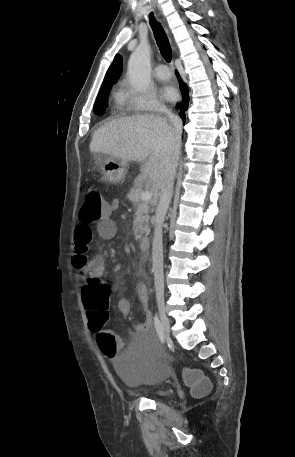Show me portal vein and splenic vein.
Returning <instances> with one entry per match:
<instances>
[{
  "instance_id": "portal-vein-and-splenic-vein-1",
  "label": "portal vein and splenic vein",
  "mask_w": 295,
  "mask_h": 457,
  "mask_svg": "<svg viewBox=\"0 0 295 457\" xmlns=\"http://www.w3.org/2000/svg\"><path fill=\"white\" fill-rule=\"evenodd\" d=\"M152 198V192L151 191H143L141 194V200L143 201H149Z\"/></svg>"
}]
</instances>
